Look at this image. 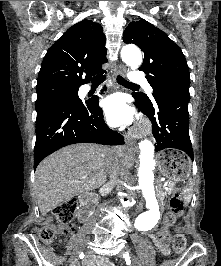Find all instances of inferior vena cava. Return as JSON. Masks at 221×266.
<instances>
[{
    "mask_svg": "<svg viewBox=\"0 0 221 266\" xmlns=\"http://www.w3.org/2000/svg\"><path fill=\"white\" fill-rule=\"evenodd\" d=\"M104 159L106 162V170L111 183L117 187H121L127 176V170L116 155L110 150L104 152Z\"/></svg>",
    "mask_w": 221,
    "mask_h": 266,
    "instance_id": "1",
    "label": "inferior vena cava"
}]
</instances>
